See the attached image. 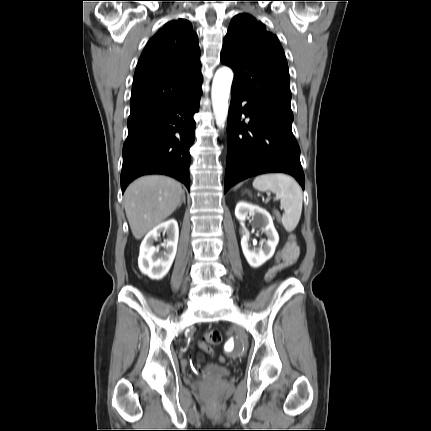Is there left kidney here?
<instances>
[{"label": "left kidney", "instance_id": "left-kidney-1", "mask_svg": "<svg viewBox=\"0 0 431 431\" xmlns=\"http://www.w3.org/2000/svg\"><path fill=\"white\" fill-rule=\"evenodd\" d=\"M249 216L253 217V222L266 233L267 240L261 242L259 250H253L249 244V233L242 230L241 247L243 254L250 266L257 268L263 265L274 255L279 242V235L274 227L271 215L263 208L247 202H239L235 208L236 218L243 223Z\"/></svg>", "mask_w": 431, "mask_h": 431}]
</instances>
